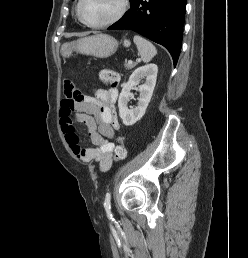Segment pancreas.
Listing matches in <instances>:
<instances>
[{"label": "pancreas", "instance_id": "pancreas-1", "mask_svg": "<svg viewBox=\"0 0 248 258\" xmlns=\"http://www.w3.org/2000/svg\"><path fill=\"white\" fill-rule=\"evenodd\" d=\"M135 65H136L135 63H129V62L127 63V62H126V63H125V68H126V69H132V68L135 67Z\"/></svg>", "mask_w": 248, "mask_h": 258}]
</instances>
